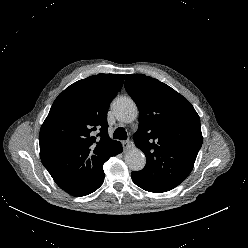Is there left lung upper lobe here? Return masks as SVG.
Here are the masks:
<instances>
[{"label": "left lung upper lobe", "instance_id": "5c2ea615", "mask_svg": "<svg viewBox=\"0 0 248 248\" xmlns=\"http://www.w3.org/2000/svg\"><path fill=\"white\" fill-rule=\"evenodd\" d=\"M125 89L139 109L135 145L146 155L141 174L156 189L171 190L193 169L202 145L200 118L168 85L143 74H128Z\"/></svg>", "mask_w": 248, "mask_h": 248}]
</instances>
